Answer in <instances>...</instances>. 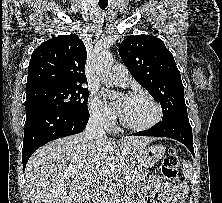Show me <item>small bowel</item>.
<instances>
[{"label": "small bowel", "mask_w": 222, "mask_h": 203, "mask_svg": "<svg viewBox=\"0 0 222 203\" xmlns=\"http://www.w3.org/2000/svg\"><path fill=\"white\" fill-rule=\"evenodd\" d=\"M146 191H149L156 203H183L185 197V191L181 185L168 184L158 176L150 178L147 187L139 195L141 200L138 203L142 202Z\"/></svg>", "instance_id": "small-bowel-1"}]
</instances>
